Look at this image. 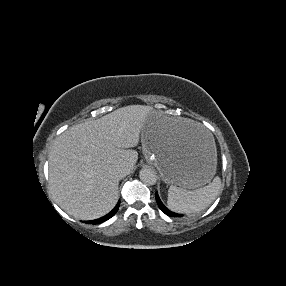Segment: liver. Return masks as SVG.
Wrapping results in <instances>:
<instances>
[{"mask_svg":"<svg viewBox=\"0 0 286 286\" xmlns=\"http://www.w3.org/2000/svg\"><path fill=\"white\" fill-rule=\"evenodd\" d=\"M150 115L167 122L178 138L206 133L193 120L170 118L143 105L122 107L100 119L69 127L55 140L48 158L50 191L66 213L92 220L114 208L120 178L113 168L123 165L127 174L133 171L138 160L134 147Z\"/></svg>","mask_w":286,"mask_h":286,"instance_id":"obj_1","label":"liver"}]
</instances>
